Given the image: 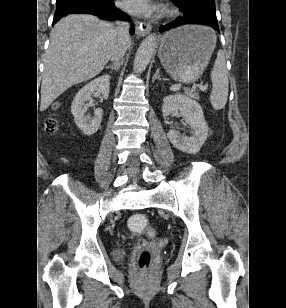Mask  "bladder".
<instances>
[{
	"mask_svg": "<svg viewBox=\"0 0 286 308\" xmlns=\"http://www.w3.org/2000/svg\"><path fill=\"white\" fill-rule=\"evenodd\" d=\"M115 257L118 261H123L124 251L121 247H118L115 252Z\"/></svg>",
	"mask_w": 286,
	"mask_h": 308,
	"instance_id": "bladder-1",
	"label": "bladder"
}]
</instances>
